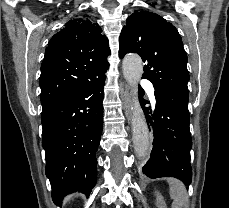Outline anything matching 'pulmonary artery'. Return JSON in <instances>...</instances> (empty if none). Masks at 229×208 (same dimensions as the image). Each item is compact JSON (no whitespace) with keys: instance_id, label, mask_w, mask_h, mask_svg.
<instances>
[{"instance_id":"obj_1","label":"pulmonary artery","mask_w":229,"mask_h":208,"mask_svg":"<svg viewBox=\"0 0 229 208\" xmlns=\"http://www.w3.org/2000/svg\"><path fill=\"white\" fill-rule=\"evenodd\" d=\"M141 87H146V90L148 92V95L150 96V98L152 99V102L154 103V88L153 85L151 83H146V79H143V82L140 83Z\"/></svg>"}]
</instances>
